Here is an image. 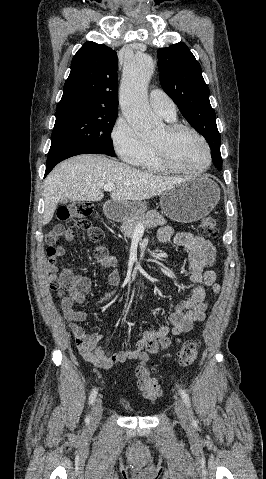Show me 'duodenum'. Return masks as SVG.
I'll return each mask as SVG.
<instances>
[{
  "label": "duodenum",
  "mask_w": 266,
  "mask_h": 479,
  "mask_svg": "<svg viewBox=\"0 0 266 479\" xmlns=\"http://www.w3.org/2000/svg\"><path fill=\"white\" fill-rule=\"evenodd\" d=\"M104 209H105V212H106L107 214H111V213H112L111 205L107 204Z\"/></svg>",
  "instance_id": "410a0bca"
}]
</instances>
